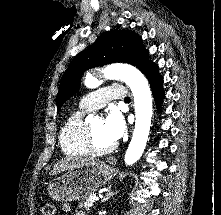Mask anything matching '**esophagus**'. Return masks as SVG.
I'll return each instance as SVG.
<instances>
[{"instance_id": "1", "label": "esophagus", "mask_w": 221, "mask_h": 215, "mask_svg": "<svg viewBox=\"0 0 221 215\" xmlns=\"http://www.w3.org/2000/svg\"><path fill=\"white\" fill-rule=\"evenodd\" d=\"M116 159L114 158V157H110V158H108V162L110 163V164H116Z\"/></svg>"}]
</instances>
